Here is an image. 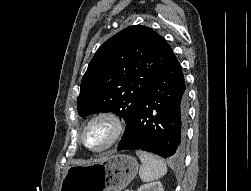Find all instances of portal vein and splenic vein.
Masks as SVG:
<instances>
[{"mask_svg": "<svg viewBox=\"0 0 251 191\" xmlns=\"http://www.w3.org/2000/svg\"><path fill=\"white\" fill-rule=\"evenodd\" d=\"M124 191H129V189H128V188H125Z\"/></svg>", "mask_w": 251, "mask_h": 191, "instance_id": "18ae733b", "label": "portal vein and splenic vein"}]
</instances>
